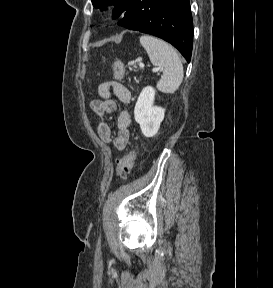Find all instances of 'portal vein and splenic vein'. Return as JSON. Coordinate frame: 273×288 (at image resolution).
<instances>
[{
    "instance_id": "1",
    "label": "portal vein and splenic vein",
    "mask_w": 273,
    "mask_h": 288,
    "mask_svg": "<svg viewBox=\"0 0 273 288\" xmlns=\"http://www.w3.org/2000/svg\"><path fill=\"white\" fill-rule=\"evenodd\" d=\"M140 67H144V64L142 62L139 63ZM160 69L159 68H154L153 72H158Z\"/></svg>"
}]
</instances>
